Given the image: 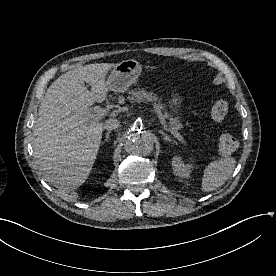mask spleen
Returning <instances> with one entry per match:
<instances>
[{"label":"spleen","mask_w":276,"mask_h":276,"mask_svg":"<svg viewBox=\"0 0 276 276\" xmlns=\"http://www.w3.org/2000/svg\"><path fill=\"white\" fill-rule=\"evenodd\" d=\"M236 160L232 157L220 158L208 164L202 178V191H214L230 177Z\"/></svg>","instance_id":"3e777b00"}]
</instances>
